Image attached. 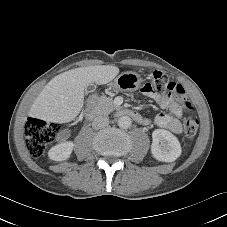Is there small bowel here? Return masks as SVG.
Wrapping results in <instances>:
<instances>
[{
    "label": "small bowel",
    "instance_id": "1",
    "mask_svg": "<svg viewBox=\"0 0 227 227\" xmlns=\"http://www.w3.org/2000/svg\"><path fill=\"white\" fill-rule=\"evenodd\" d=\"M141 92L152 98L160 108L169 112L157 114L154 118V123L160 128L167 129L176 134L180 133L182 131L181 118L183 116V109L174 97V93L172 91H165L163 95H159V90L151 82H144L141 85ZM144 123L149 124L150 121L145 119ZM65 137L66 134H62L60 139L62 140Z\"/></svg>",
    "mask_w": 227,
    "mask_h": 227
}]
</instances>
